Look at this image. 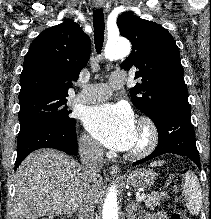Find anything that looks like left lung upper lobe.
<instances>
[{
    "mask_svg": "<svg viewBox=\"0 0 211 219\" xmlns=\"http://www.w3.org/2000/svg\"><path fill=\"white\" fill-rule=\"evenodd\" d=\"M117 25L132 43V52L121 67H136L135 78H141L130 90L133 104L152 120L167 105L188 104L180 54L172 35L159 24L129 13L120 15Z\"/></svg>",
    "mask_w": 211,
    "mask_h": 219,
    "instance_id": "1",
    "label": "left lung upper lobe"
}]
</instances>
